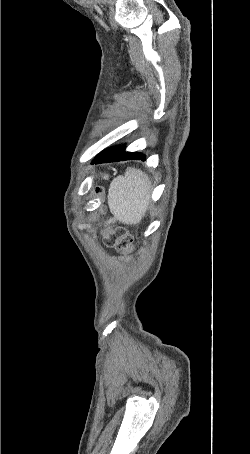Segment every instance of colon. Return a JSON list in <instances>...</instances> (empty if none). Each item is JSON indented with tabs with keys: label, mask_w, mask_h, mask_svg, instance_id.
<instances>
[{
	"label": "colon",
	"mask_w": 250,
	"mask_h": 454,
	"mask_svg": "<svg viewBox=\"0 0 250 454\" xmlns=\"http://www.w3.org/2000/svg\"><path fill=\"white\" fill-rule=\"evenodd\" d=\"M101 192L102 189L97 188L96 193ZM103 239L106 246L114 248L122 256H128L135 250L133 237L124 227L105 228Z\"/></svg>",
	"instance_id": "1"
}]
</instances>
